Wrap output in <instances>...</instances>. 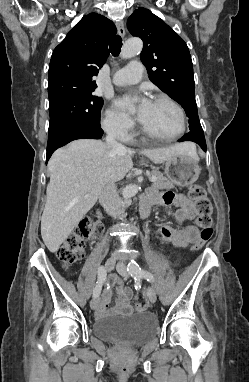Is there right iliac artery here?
<instances>
[{"mask_svg": "<svg viewBox=\"0 0 249 382\" xmlns=\"http://www.w3.org/2000/svg\"><path fill=\"white\" fill-rule=\"evenodd\" d=\"M106 275H107V273H106L105 268L103 266H100L98 269V280H97L95 288L93 290V296L94 297L99 296L101 289H102V285L106 280Z\"/></svg>", "mask_w": 249, "mask_h": 382, "instance_id": "1", "label": "right iliac artery"}]
</instances>
